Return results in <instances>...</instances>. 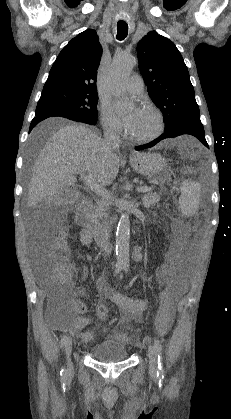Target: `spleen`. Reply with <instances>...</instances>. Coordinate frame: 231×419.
<instances>
[{
    "label": "spleen",
    "instance_id": "1",
    "mask_svg": "<svg viewBox=\"0 0 231 419\" xmlns=\"http://www.w3.org/2000/svg\"><path fill=\"white\" fill-rule=\"evenodd\" d=\"M180 190L179 204L182 213L186 216L194 215L199 205L200 185L197 182L185 180L181 183Z\"/></svg>",
    "mask_w": 231,
    "mask_h": 419
}]
</instances>
